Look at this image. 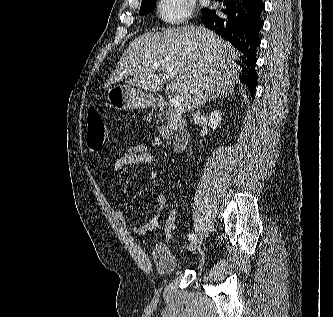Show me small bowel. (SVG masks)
Masks as SVG:
<instances>
[{"instance_id":"small-bowel-1","label":"small bowel","mask_w":333,"mask_h":317,"mask_svg":"<svg viewBox=\"0 0 333 317\" xmlns=\"http://www.w3.org/2000/svg\"><path fill=\"white\" fill-rule=\"evenodd\" d=\"M155 161L154 155L142 144L132 145L127 147L124 152L113 163L112 169L118 172L126 166L134 164H151ZM171 206V201L168 197L158 195L155 199V206L153 213L148 222L143 225L135 226L129 225L122 214L120 220L122 224L136 235H144L146 233L155 231L159 227V218L164 209Z\"/></svg>"}]
</instances>
